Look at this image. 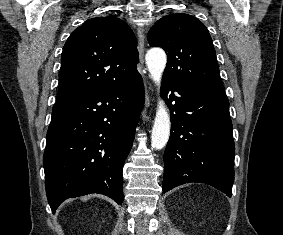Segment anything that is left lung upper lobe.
I'll use <instances>...</instances> for the list:
<instances>
[{
	"mask_svg": "<svg viewBox=\"0 0 283 235\" xmlns=\"http://www.w3.org/2000/svg\"><path fill=\"white\" fill-rule=\"evenodd\" d=\"M148 42L167 54L164 77L182 81L198 90L225 95L212 39L194 16L170 14L150 29Z\"/></svg>",
	"mask_w": 283,
	"mask_h": 235,
	"instance_id": "obj_1",
	"label": "left lung upper lobe"
}]
</instances>
